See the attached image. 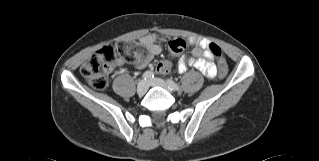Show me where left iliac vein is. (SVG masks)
Returning <instances> with one entry per match:
<instances>
[{"label": "left iliac vein", "mask_w": 319, "mask_h": 161, "mask_svg": "<svg viewBox=\"0 0 319 161\" xmlns=\"http://www.w3.org/2000/svg\"><path fill=\"white\" fill-rule=\"evenodd\" d=\"M149 85L150 86H159V87H162V88L166 89L169 92H172V90L169 87L168 83L165 82L163 79H160V78L151 79L149 81Z\"/></svg>", "instance_id": "1"}]
</instances>
